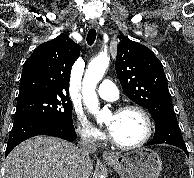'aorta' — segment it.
Wrapping results in <instances>:
<instances>
[{"mask_svg": "<svg viewBox=\"0 0 194 178\" xmlns=\"http://www.w3.org/2000/svg\"><path fill=\"white\" fill-rule=\"evenodd\" d=\"M108 65L109 57L107 54L98 55L89 63L83 78L82 94L84 103L89 111L95 115L98 122L102 121L104 111L99 110L96 86L102 79Z\"/></svg>", "mask_w": 194, "mask_h": 178, "instance_id": "aorta-1", "label": "aorta"}]
</instances>
